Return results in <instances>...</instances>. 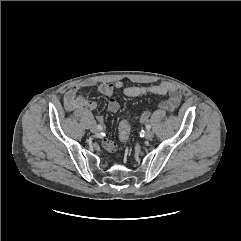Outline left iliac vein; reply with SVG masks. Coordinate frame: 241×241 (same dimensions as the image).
I'll return each instance as SVG.
<instances>
[{"mask_svg":"<svg viewBox=\"0 0 241 241\" xmlns=\"http://www.w3.org/2000/svg\"><path fill=\"white\" fill-rule=\"evenodd\" d=\"M154 137V133L151 130L145 132V139L151 140Z\"/></svg>","mask_w":241,"mask_h":241,"instance_id":"4c4485c4","label":"left iliac vein"}]
</instances>
